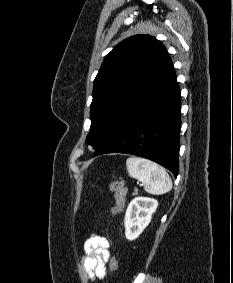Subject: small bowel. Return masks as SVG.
Masks as SVG:
<instances>
[{"label": "small bowel", "instance_id": "1", "mask_svg": "<svg viewBox=\"0 0 233 283\" xmlns=\"http://www.w3.org/2000/svg\"><path fill=\"white\" fill-rule=\"evenodd\" d=\"M110 243L98 234H91L84 244L81 271L88 280L103 279L110 259Z\"/></svg>", "mask_w": 233, "mask_h": 283}]
</instances>
